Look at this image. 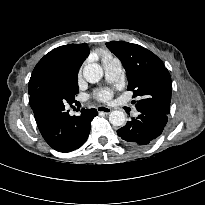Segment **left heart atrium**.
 <instances>
[{
  "label": "left heart atrium",
  "instance_id": "1",
  "mask_svg": "<svg viewBox=\"0 0 205 205\" xmlns=\"http://www.w3.org/2000/svg\"><path fill=\"white\" fill-rule=\"evenodd\" d=\"M97 98L102 102H108L112 98V92L110 90H101L97 93Z\"/></svg>",
  "mask_w": 205,
  "mask_h": 205
}]
</instances>
